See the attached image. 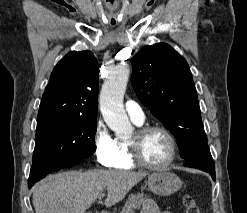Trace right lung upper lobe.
I'll use <instances>...</instances> for the list:
<instances>
[{"instance_id":"obj_1","label":"right lung upper lobe","mask_w":247,"mask_h":213,"mask_svg":"<svg viewBox=\"0 0 247 213\" xmlns=\"http://www.w3.org/2000/svg\"><path fill=\"white\" fill-rule=\"evenodd\" d=\"M98 72V62L90 51L66 54L52 71L37 119H96Z\"/></svg>"}]
</instances>
